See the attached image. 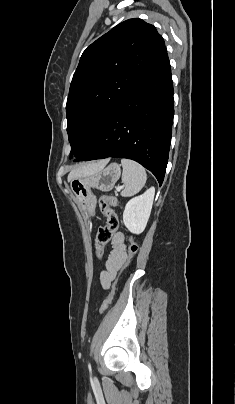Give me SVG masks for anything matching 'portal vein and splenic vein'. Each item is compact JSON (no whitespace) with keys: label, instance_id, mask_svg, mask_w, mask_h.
Masks as SVG:
<instances>
[{"label":"portal vein and splenic vein","instance_id":"obj_1","mask_svg":"<svg viewBox=\"0 0 235 404\" xmlns=\"http://www.w3.org/2000/svg\"><path fill=\"white\" fill-rule=\"evenodd\" d=\"M122 188H123V186L118 187L117 191H121Z\"/></svg>","mask_w":235,"mask_h":404}]
</instances>
